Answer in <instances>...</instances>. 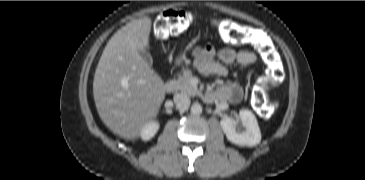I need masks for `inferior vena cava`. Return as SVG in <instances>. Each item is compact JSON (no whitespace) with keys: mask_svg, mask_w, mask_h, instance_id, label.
<instances>
[{"mask_svg":"<svg viewBox=\"0 0 365 180\" xmlns=\"http://www.w3.org/2000/svg\"><path fill=\"white\" fill-rule=\"evenodd\" d=\"M174 103L176 105V108L180 111H185L189 108L190 106V98L183 93L180 94H175L174 95Z\"/></svg>","mask_w":365,"mask_h":180,"instance_id":"602c4592","label":"inferior vena cava"}]
</instances>
